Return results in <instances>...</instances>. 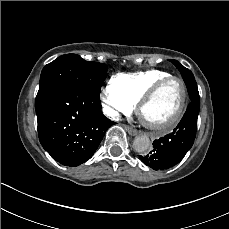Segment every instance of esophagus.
<instances>
[{
	"mask_svg": "<svg viewBox=\"0 0 229 229\" xmlns=\"http://www.w3.org/2000/svg\"><path fill=\"white\" fill-rule=\"evenodd\" d=\"M124 128L127 130V132L132 135V136H135L138 134V131L134 128H132L131 126L129 125H124Z\"/></svg>",
	"mask_w": 229,
	"mask_h": 229,
	"instance_id": "34e87169",
	"label": "esophagus"
}]
</instances>
